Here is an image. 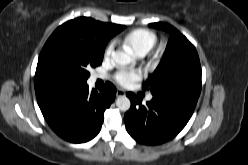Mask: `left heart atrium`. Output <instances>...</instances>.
Instances as JSON below:
<instances>
[{
	"label": "left heart atrium",
	"instance_id": "obj_1",
	"mask_svg": "<svg viewBox=\"0 0 248 165\" xmlns=\"http://www.w3.org/2000/svg\"><path fill=\"white\" fill-rule=\"evenodd\" d=\"M143 73L138 69H121L115 75L116 82L126 88L132 87L140 81Z\"/></svg>",
	"mask_w": 248,
	"mask_h": 165
}]
</instances>
